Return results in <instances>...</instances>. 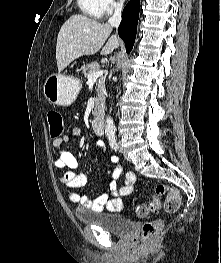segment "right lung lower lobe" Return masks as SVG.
Segmentation results:
<instances>
[{
  "label": "right lung lower lobe",
  "mask_w": 221,
  "mask_h": 263,
  "mask_svg": "<svg viewBox=\"0 0 221 263\" xmlns=\"http://www.w3.org/2000/svg\"><path fill=\"white\" fill-rule=\"evenodd\" d=\"M139 7L140 0H131L123 10V18L118 28V34L125 43L127 53L131 51L135 41Z\"/></svg>",
  "instance_id": "obj_1"
}]
</instances>
